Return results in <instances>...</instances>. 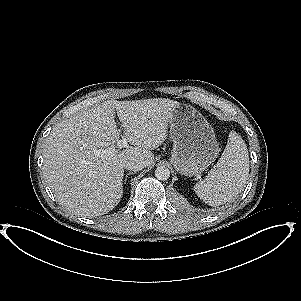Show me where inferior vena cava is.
<instances>
[{
	"mask_svg": "<svg viewBox=\"0 0 301 301\" xmlns=\"http://www.w3.org/2000/svg\"><path fill=\"white\" fill-rule=\"evenodd\" d=\"M125 168L129 171H140L144 168V165L137 161H130L125 164Z\"/></svg>",
	"mask_w": 301,
	"mask_h": 301,
	"instance_id": "1",
	"label": "inferior vena cava"
}]
</instances>
